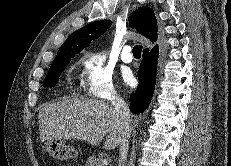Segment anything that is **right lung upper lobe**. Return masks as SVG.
<instances>
[{
    "instance_id": "cb5924a9",
    "label": "right lung upper lobe",
    "mask_w": 231,
    "mask_h": 166,
    "mask_svg": "<svg viewBox=\"0 0 231 166\" xmlns=\"http://www.w3.org/2000/svg\"><path fill=\"white\" fill-rule=\"evenodd\" d=\"M130 27L135 28L140 34L151 42L158 38V26L154 11L150 7H140L129 16ZM110 20L92 22L72 33L57 52V56L74 55L90 45V42L106 32L111 26ZM149 51V49H144Z\"/></svg>"
}]
</instances>
